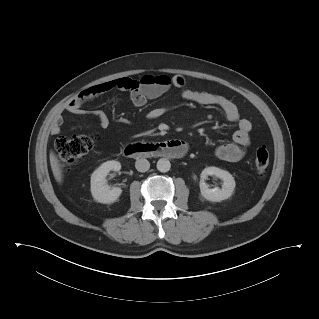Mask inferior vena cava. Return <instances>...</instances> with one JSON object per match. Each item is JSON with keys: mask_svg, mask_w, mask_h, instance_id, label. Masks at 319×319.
Listing matches in <instances>:
<instances>
[{"mask_svg": "<svg viewBox=\"0 0 319 319\" xmlns=\"http://www.w3.org/2000/svg\"><path fill=\"white\" fill-rule=\"evenodd\" d=\"M135 167L139 172H146L150 168V163L147 159H138L135 162Z\"/></svg>", "mask_w": 319, "mask_h": 319, "instance_id": "602c4592", "label": "inferior vena cava"}]
</instances>
